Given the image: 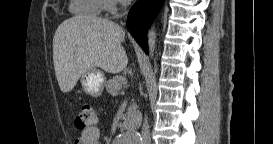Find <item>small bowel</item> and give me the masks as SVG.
<instances>
[{"instance_id": "obj_1", "label": "small bowel", "mask_w": 273, "mask_h": 144, "mask_svg": "<svg viewBox=\"0 0 273 144\" xmlns=\"http://www.w3.org/2000/svg\"><path fill=\"white\" fill-rule=\"evenodd\" d=\"M101 133L99 128L93 127L82 130L79 137L74 140V144H99Z\"/></svg>"}]
</instances>
